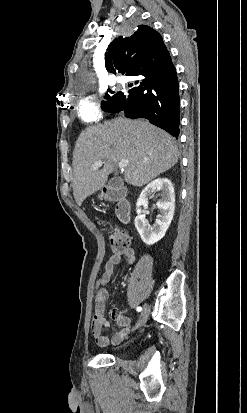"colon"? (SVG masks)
I'll return each instance as SVG.
<instances>
[{"instance_id":"colon-1","label":"colon","mask_w":247,"mask_h":413,"mask_svg":"<svg viewBox=\"0 0 247 413\" xmlns=\"http://www.w3.org/2000/svg\"><path fill=\"white\" fill-rule=\"evenodd\" d=\"M108 238L110 241L108 247L110 249L115 247L118 251H122L127 246V232L121 226L114 225L112 231L108 234Z\"/></svg>"}]
</instances>
